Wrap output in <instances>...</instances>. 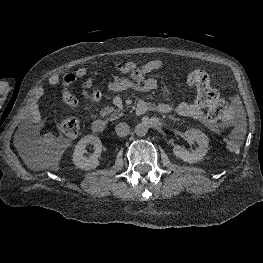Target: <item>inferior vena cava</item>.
<instances>
[{"label": "inferior vena cava", "instance_id": "602c4592", "mask_svg": "<svg viewBox=\"0 0 263 263\" xmlns=\"http://www.w3.org/2000/svg\"><path fill=\"white\" fill-rule=\"evenodd\" d=\"M129 130H130L129 126L124 122L117 124L115 127L116 134L120 137L127 136Z\"/></svg>", "mask_w": 263, "mask_h": 263}]
</instances>
